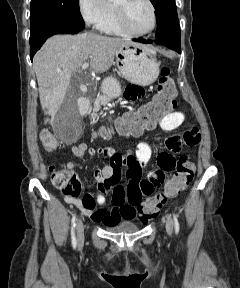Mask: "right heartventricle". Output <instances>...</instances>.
Wrapping results in <instances>:
<instances>
[{"label": "right heart ventricle", "mask_w": 240, "mask_h": 288, "mask_svg": "<svg viewBox=\"0 0 240 288\" xmlns=\"http://www.w3.org/2000/svg\"><path fill=\"white\" fill-rule=\"evenodd\" d=\"M100 29L110 34H126L118 24L115 7L112 6V13L109 18L100 26Z\"/></svg>", "instance_id": "obj_1"}]
</instances>
